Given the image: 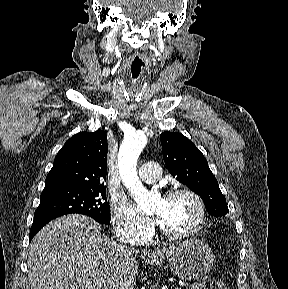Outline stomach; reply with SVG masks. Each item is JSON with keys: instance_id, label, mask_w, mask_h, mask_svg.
<instances>
[{"instance_id": "obj_1", "label": "stomach", "mask_w": 288, "mask_h": 289, "mask_svg": "<svg viewBox=\"0 0 288 289\" xmlns=\"http://www.w3.org/2000/svg\"><path fill=\"white\" fill-rule=\"evenodd\" d=\"M214 262L211 248L201 240L183 242L174 247L168 259L172 272L182 280H197L209 272Z\"/></svg>"}]
</instances>
